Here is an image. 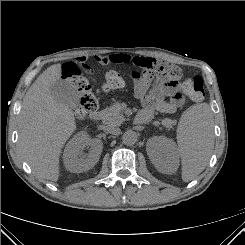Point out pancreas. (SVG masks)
I'll return each mask as SVG.
<instances>
[{
    "mask_svg": "<svg viewBox=\"0 0 245 245\" xmlns=\"http://www.w3.org/2000/svg\"><path fill=\"white\" fill-rule=\"evenodd\" d=\"M124 121V116L121 113L119 103L115 102L111 107L106 108L102 111V122L108 126H118ZM176 123L175 120L165 118L161 123L164 127L171 128Z\"/></svg>",
    "mask_w": 245,
    "mask_h": 245,
    "instance_id": "obj_1",
    "label": "pancreas"
}]
</instances>
